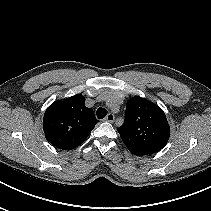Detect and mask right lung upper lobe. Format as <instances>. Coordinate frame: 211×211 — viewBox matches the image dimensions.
Listing matches in <instances>:
<instances>
[{"label": "right lung upper lobe", "instance_id": "right-lung-upper-lobe-1", "mask_svg": "<svg viewBox=\"0 0 211 211\" xmlns=\"http://www.w3.org/2000/svg\"><path fill=\"white\" fill-rule=\"evenodd\" d=\"M84 103L85 98L77 94L51 104L43 117L48 142L62 150L74 149L84 142L98 122Z\"/></svg>", "mask_w": 211, "mask_h": 211}]
</instances>
